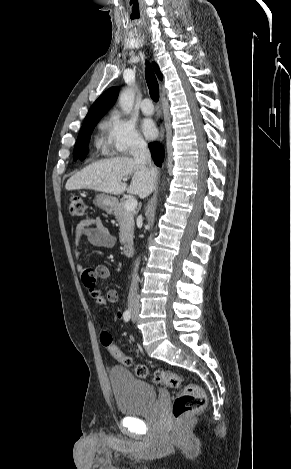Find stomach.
Masks as SVG:
<instances>
[{
    "mask_svg": "<svg viewBox=\"0 0 291 469\" xmlns=\"http://www.w3.org/2000/svg\"><path fill=\"white\" fill-rule=\"evenodd\" d=\"M94 203L96 206H98L102 210L106 212H111L117 206L118 201L115 197L111 195L100 193L96 195Z\"/></svg>",
    "mask_w": 291,
    "mask_h": 469,
    "instance_id": "1",
    "label": "stomach"
}]
</instances>
